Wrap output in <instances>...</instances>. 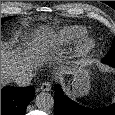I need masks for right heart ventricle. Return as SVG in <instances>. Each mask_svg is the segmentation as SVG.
Returning <instances> with one entry per match:
<instances>
[{
  "label": "right heart ventricle",
  "instance_id": "right-heart-ventricle-1",
  "mask_svg": "<svg viewBox=\"0 0 115 115\" xmlns=\"http://www.w3.org/2000/svg\"><path fill=\"white\" fill-rule=\"evenodd\" d=\"M86 29L82 26H69L61 29L57 36L56 41L62 44H70L81 40L86 35ZM52 41L45 40L39 43L37 48L43 50L51 45Z\"/></svg>",
  "mask_w": 115,
  "mask_h": 115
}]
</instances>
